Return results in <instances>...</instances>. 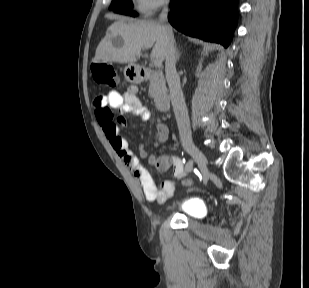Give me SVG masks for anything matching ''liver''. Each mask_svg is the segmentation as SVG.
<instances>
[{"label":"liver","mask_w":309,"mask_h":288,"mask_svg":"<svg viewBox=\"0 0 309 288\" xmlns=\"http://www.w3.org/2000/svg\"><path fill=\"white\" fill-rule=\"evenodd\" d=\"M116 37L122 38V46L118 47L114 44L113 39ZM153 44L151 56L163 61L166 56L167 42L161 24L154 21H133L121 18L108 28L106 36L96 49L94 62L135 63L141 57L142 50Z\"/></svg>","instance_id":"6515ba94"}]
</instances>
